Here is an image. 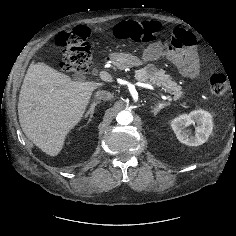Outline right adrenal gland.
Listing matches in <instances>:
<instances>
[{"label": "right adrenal gland", "instance_id": "right-adrenal-gland-1", "mask_svg": "<svg viewBox=\"0 0 236 236\" xmlns=\"http://www.w3.org/2000/svg\"><path fill=\"white\" fill-rule=\"evenodd\" d=\"M100 104V101H96V102H93L90 106V108L88 109V111L86 112V115L85 117H88L89 116V119H88V122L91 121V119L93 118L94 116V111H95V107Z\"/></svg>", "mask_w": 236, "mask_h": 236}]
</instances>
